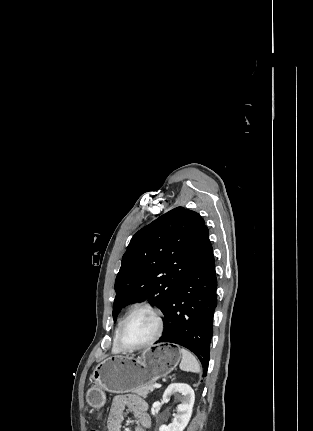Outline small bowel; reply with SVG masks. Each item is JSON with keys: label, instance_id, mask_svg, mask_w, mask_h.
<instances>
[{"label": "small bowel", "instance_id": "1", "mask_svg": "<svg viewBox=\"0 0 313 431\" xmlns=\"http://www.w3.org/2000/svg\"><path fill=\"white\" fill-rule=\"evenodd\" d=\"M126 409L131 410L138 419L139 425L135 431H147L150 426L147 405L139 397L130 394H121L114 397L107 421L108 431H122V422Z\"/></svg>", "mask_w": 313, "mask_h": 431}]
</instances>
